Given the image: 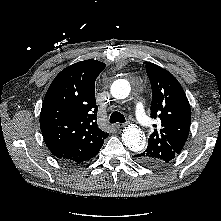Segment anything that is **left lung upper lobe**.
Segmentation results:
<instances>
[{"instance_id": "left-lung-upper-lobe-1", "label": "left lung upper lobe", "mask_w": 221, "mask_h": 221, "mask_svg": "<svg viewBox=\"0 0 221 221\" xmlns=\"http://www.w3.org/2000/svg\"><path fill=\"white\" fill-rule=\"evenodd\" d=\"M151 82V117L161 121L148 139L146 150L136 155L143 164L160 166L179 154L187 140L191 110L180 83L167 70L145 62Z\"/></svg>"}]
</instances>
